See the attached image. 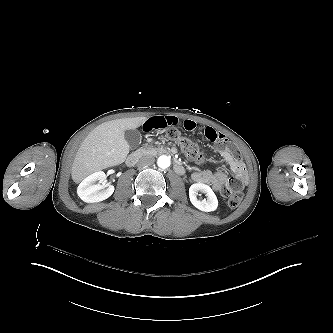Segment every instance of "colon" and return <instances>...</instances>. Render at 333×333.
Masks as SVG:
<instances>
[{
  "mask_svg": "<svg viewBox=\"0 0 333 333\" xmlns=\"http://www.w3.org/2000/svg\"><path fill=\"white\" fill-rule=\"evenodd\" d=\"M167 137L171 143L178 145L188 158L198 163L204 162L205 155L194 141L181 137L176 130H169ZM231 183L233 185H222L221 194L227 199V205L230 208H236L240 205L243 198L240 186L244 183V176L241 173H234L231 176Z\"/></svg>",
  "mask_w": 333,
  "mask_h": 333,
  "instance_id": "obj_1",
  "label": "colon"
}]
</instances>
